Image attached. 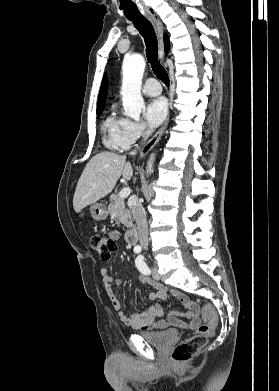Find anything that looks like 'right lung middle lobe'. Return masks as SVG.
<instances>
[{
	"instance_id": "dd1d6c3e",
	"label": "right lung middle lobe",
	"mask_w": 279,
	"mask_h": 391,
	"mask_svg": "<svg viewBox=\"0 0 279 391\" xmlns=\"http://www.w3.org/2000/svg\"><path fill=\"white\" fill-rule=\"evenodd\" d=\"M103 109H97V115H100L102 113Z\"/></svg>"
}]
</instances>
